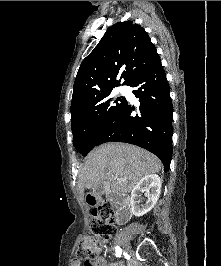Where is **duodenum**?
<instances>
[{
	"label": "duodenum",
	"instance_id": "410a0bca",
	"mask_svg": "<svg viewBox=\"0 0 221 266\" xmlns=\"http://www.w3.org/2000/svg\"><path fill=\"white\" fill-rule=\"evenodd\" d=\"M112 198L119 206L117 223L119 225L125 224L130 219L132 214L129 207V197L122 194H114ZM86 203H90V206H97V203H99V195L90 192L88 198H86Z\"/></svg>",
	"mask_w": 221,
	"mask_h": 266
}]
</instances>
